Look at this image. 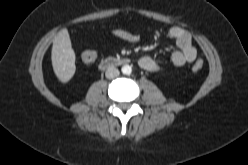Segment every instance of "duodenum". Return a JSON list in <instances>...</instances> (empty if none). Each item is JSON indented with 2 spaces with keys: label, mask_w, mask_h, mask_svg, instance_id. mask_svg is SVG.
<instances>
[{
  "label": "duodenum",
  "mask_w": 248,
  "mask_h": 165,
  "mask_svg": "<svg viewBox=\"0 0 248 165\" xmlns=\"http://www.w3.org/2000/svg\"><path fill=\"white\" fill-rule=\"evenodd\" d=\"M129 62L130 60L128 58L111 57V58H106L102 60L99 66L102 70H105V69L112 68L114 66L125 65V64H128Z\"/></svg>",
  "instance_id": "410a0bca"
}]
</instances>
